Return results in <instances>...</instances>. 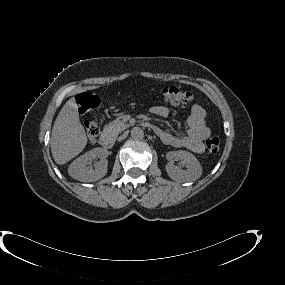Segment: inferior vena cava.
I'll list each match as a JSON object with an SVG mask.
<instances>
[{
  "instance_id": "inferior-vena-cava-1",
  "label": "inferior vena cava",
  "mask_w": 285,
  "mask_h": 285,
  "mask_svg": "<svg viewBox=\"0 0 285 285\" xmlns=\"http://www.w3.org/2000/svg\"><path fill=\"white\" fill-rule=\"evenodd\" d=\"M118 141L119 142H124L125 141V136L124 135H119L118 136Z\"/></svg>"
}]
</instances>
